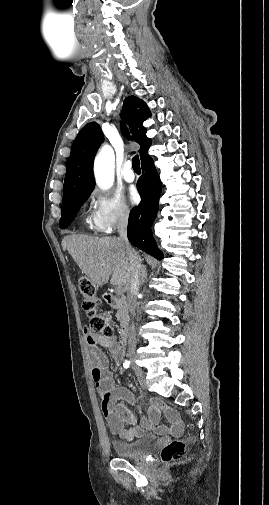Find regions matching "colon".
<instances>
[{"mask_svg":"<svg viewBox=\"0 0 269 505\" xmlns=\"http://www.w3.org/2000/svg\"><path fill=\"white\" fill-rule=\"evenodd\" d=\"M80 292L83 296V308L89 318L88 332L93 335L109 336L112 333L110 315L99 311V299L96 295L94 283L87 277L79 280ZM187 445L183 440H172L161 450L164 462L178 461L186 456Z\"/></svg>","mask_w":269,"mask_h":505,"instance_id":"1","label":"colon"}]
</instances>
